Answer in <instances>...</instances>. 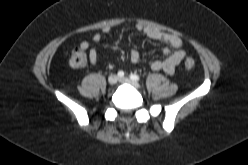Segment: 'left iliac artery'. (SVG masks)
Masks as SVG:
<instances>
[{"mask_svg": "<svg viewBox=\"0 0 248 165\" xmlns=\"http://www.w3.org/2000/svg\"><path fill=\"white\" fill-rule=\"evenodd\" d=\"M130 79H132L133 81H138L140 79V77L136 74H131Z\"/></svg>", "mask_w": 248, "mask_h": 165, "instance_id": "1", "label": "left iliac artery"}]
</instances>
